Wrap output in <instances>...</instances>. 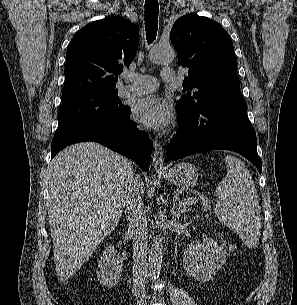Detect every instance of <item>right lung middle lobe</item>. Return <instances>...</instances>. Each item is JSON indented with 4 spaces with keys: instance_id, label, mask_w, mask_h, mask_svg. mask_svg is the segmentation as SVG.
I'll use <instances>...</instances> for the list:
<instances>
[{
    "instance_id": "obj_1",
    "label": "right lung middle lobe",
    "mask_w": 297,
    "mask_h": 305,
    "mask_svg": "<svg viewBox=\"0 0 297 305\" xmlns=\"http://www.w3.org/2000/svg\"><path fill=\"white\" fill-rule=\"evenodd\" d=\"M128 110L129 107L121 105L117 91L95 92L62 100L54 137L92 120L121 118Z\"/></svg>"
}]
</instances>
